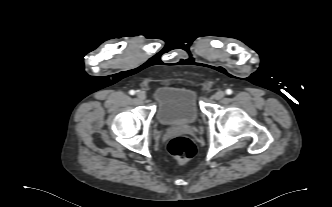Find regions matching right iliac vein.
<instances>
[{
	"label": "right iliac vein",
	"mask_w": 332,
	"mask_h": 207,
	"mask_svg": "<svg viewBox=\"0 0 332 207\" xmlns=\"http://www.w3.org/2000/svg\"><path fill=\"white\" fill-rule=\"evenodd\" d=\"M136 95H137V98L141 101L146 99V94L143 91H139Z\"/></svg>",
	"instance_id": "1"
}]
</instances>
